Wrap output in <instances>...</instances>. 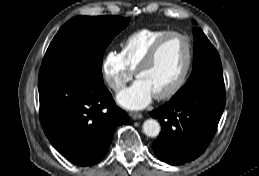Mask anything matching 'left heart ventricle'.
Here are the masks:
<instances>
[{
    "label": "left heart ventricle",
    "mask_w": 259,
    "mask_h": 176,
    "mask_svg": "<svg viewBox=\"0 0 259 176\" xmlns=\"http://www.w3.org/2000/svg\"><path fill=\"white\" fill-rule=\"evenodd\" d=\"M187 55L186 41L179 36L168 38L160 48L154 62L138 79L142 80L154 95L166 91L181 74Z\"/></svg>",
    "instance_id": "left-heart-ventricle-1"
}]
</instances>
